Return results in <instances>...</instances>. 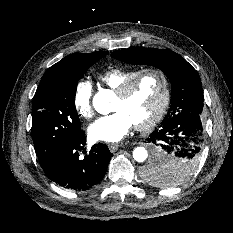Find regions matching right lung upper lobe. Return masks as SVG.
I'll use <instances>...</instances> for the list:
<instances>
[{
    "label": "right lung upper lobe",
    "mask_w": 233,
    "mask_h": 233,
    "mask_svg": "<svg viewBox=\"0 0 233 233\" xmlns=\"http://www.w3.org/2000/svg\"><path fill=\"white\" fill-rule=\"evenodd\" d=\"M99 52H103V51H99ZM105 52V51H104ZM97 52H93V53H73L70 54L68 56H66L65 58H63L61 61H59L58 63L54 64L53 66H51L43 75L42 79H46L48 77L54 76L59 74L60 72H62L63 70L72 68L74 66H76L77 64H79L80 62L86 60L89 56L95 54ZM41 79V80H42Z\"/></svg>",
    "instance_id": "cb5924a9"
}]
</instances>
